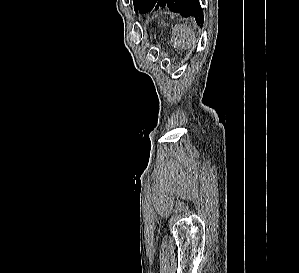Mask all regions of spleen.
I'll list each match as a JSON object with an SVG mask.
<instances>
[{"label": "spleen", "instance_id": "1", "mask_svg": "<svg viewBox=\"0 0 299 273\" xmlns=\"http://www.w3.org/2000/svg\"><path fill=\"white\" fill-rule=\"evenodd\" d=\"M172 33V43L177 49H190L195 44V35L190 26L176 25Z\"/></svg>", "mask_w": 299, "mask_h": 273}]
</instances>
